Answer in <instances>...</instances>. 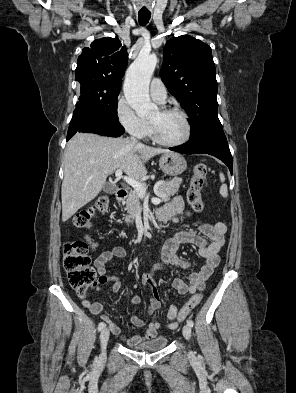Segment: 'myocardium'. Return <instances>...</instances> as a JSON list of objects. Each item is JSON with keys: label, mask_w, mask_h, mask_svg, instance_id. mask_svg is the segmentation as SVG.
<instances>
[{"label": "myocardium", "mask_w": 296, "mask_h": 393, "mask_svg": "<svg viewBox=\"0 0 296 393\" xmlns=\"http://www.w3.org/2000/svg\"><path fill=\"white\" fill-rule=\"evenodd\" d=\"M160 111L164 114L177 113L181 115L184 120L186 130L184 136L180 140L174 142H168L160 138L155 124L153 122H150L151 134L153 140L159 145L166 146V147H177L185 144L190 139L192 133V126L188 114L184 110L177 107L162 108L160 109Z\"/></svg>", "instance_id": "obj_1"}]
</instances>
